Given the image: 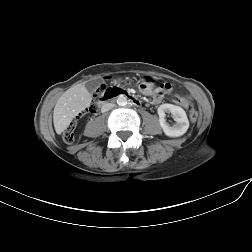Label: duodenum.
I'll list each match as a JSON object with an SVG mask.
<instances>
[{"mask_svg":"<svg viewBox=\"0 0 252 252\" xmlns=\"http://www.w3.org/2000/svg\"><path fill=\"white\" fill-rule=\"evenodd\" d=\"M117 96H124V97H126L129 100V102L132 105H134V106H140V100L139 99H137L133 95L129 94L127 91L120 89L117 92H115L114 94L102 98L101 99V107H104L107 104L108 100H111V99H113V98H115Z\"/></svg>","mask_w":252,"mask_h":252,"instance_id":"obj_1","label":"duodenum"}]
</instances>
